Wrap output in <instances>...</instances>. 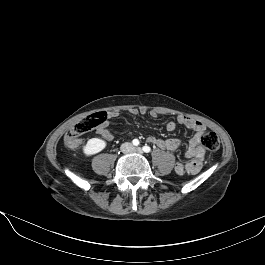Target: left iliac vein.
Segmentation results:
<instances>
[{"mask_svg":"<svg viewBox=\"0 0 265 265\" xmlns=\"http://www.w3.org/2000/svg\"><path fill=\"white\" fill-rule=\"evenodd\" d=\"M133 151L136 152V153H142V149L139 148V147L134 148Z\"/></svg>","mask_w":265,"mask_h":265,"instance_id":"4c4485c4","label":"left iliac vein"}]
</instances>
